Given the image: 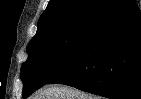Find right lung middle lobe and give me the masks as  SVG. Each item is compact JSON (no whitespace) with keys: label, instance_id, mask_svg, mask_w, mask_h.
<instances>
[{"label":"right lung middle lobe","instance_id":"1","mask_svg":"<svg viewBox=\"0 0 141 99\" xmlns=\"http://www.w3.org/2000/svg\"><path fill=\"white\" fill-rule=\"evenodd\" d=\"M100 22H81L33 38L21 67L23 97L45 85L67 66L99 28Z\"/></svg>","mask_w":141,"mask_h":99}]
</instances>
